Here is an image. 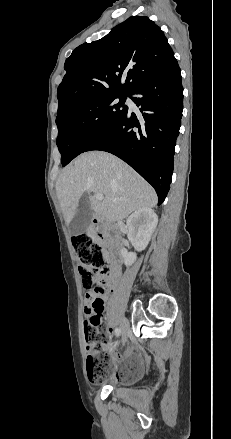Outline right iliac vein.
I'll return each mask as SVG.
<instances>
[{
    "instance_id": "1",
    "label": "right iliac vein",
    "mask_w": 231,
    "mask_h": 439,
    "mask_svg": "<svg viewBox=\"0 0 231 439\" xmlns=\"http://www.w3.org/2000/svg\"><path fill=\"white\" fill-rule=\"evenodd\" d=\"M121 328V335H122V344L124 345L127 342L128 333H129V327L125 320L121 322L120 325Z\"/></svg>"
}]
</instances>
